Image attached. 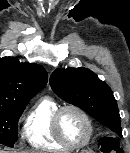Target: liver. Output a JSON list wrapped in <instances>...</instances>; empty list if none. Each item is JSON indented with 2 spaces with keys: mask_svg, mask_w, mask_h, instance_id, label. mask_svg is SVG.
Returning <instances> with one entry per match:
<instances>
[{
  "mask_svg": "<svg viewBox=\"0 0 130 153\" xmlns=\"http://www.w3.org/2000/svg\"><path fill=\"white\" fill-rule=\"evenodd\" d=\"M0 153H6V152H5V151H1V150H0ZM31 153H33V152H31Z\"/></svg>",
  "mask_w": 130,
  "mask_h": 153,
  "instance_id": "obj_1",
  "label": "liver"
}]
</instances>
